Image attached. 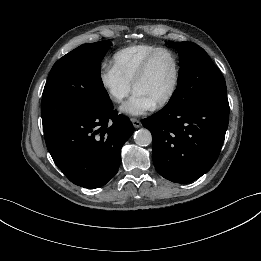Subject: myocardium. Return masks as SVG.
<instances>
[{
	"label": "myocardium",
	"instance_id": "obj_1",
	"mask_svg": "<svg viewBox=\"0 0 261 261\" xmlns=\"http://www.w3.org/2000/svg\"><path fill=\"white\" fill-rule=\"evenodd\" d=\"M161 52H166L172 57L173 63H174V78H173V82H172V85H171L168 93L160 101H158L156 104H154V107L156 109L165 107L173 99V97L178 89L179 80H180V64H179V59H178L177 54L173 50H171L170 48H167V47H159V48L155 49L144 59V61L142 62L141 66L132 82V88L134 90L135 87L147 75L149 67H150L151 62L154 59V57Z\"/></svg>",
	"mask_w": 261,
	"mask_h": 261
}]
</instances>
